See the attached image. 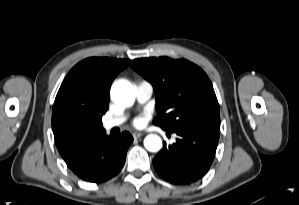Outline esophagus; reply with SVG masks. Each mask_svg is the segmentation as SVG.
Here are the masks:
<instances>
[{
    "label": "esophagus",
    "instance_id": "1",
    "mask_svg": "<svg viewBox=\"0 0 299 205\" xmlns=\"http://www.w3.org/2000/svg\"><path fill=\"white\" fill-rule=\"evenodd\" d=\"M142 135H143L142 133L135 132V133H133V138L137 139V138H140Z\"/></svg>",
    "mask_w": 299,
    "mask_h": 205
}]
</instances>
